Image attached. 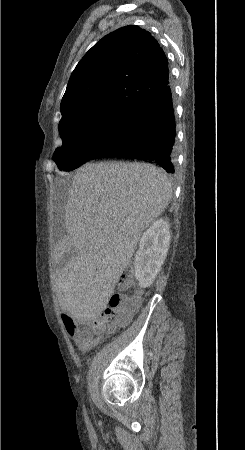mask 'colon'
<instances>
[{"label":"colon","instance_id":"colon-1","mask_svg":"<svg viewBox=\"0 0 245 450\" xmlns=\"http://www.w3.org/2000/svg\"><path fill=\"white\" fill-rule=\"evenodd\" d=\"M132 286V275L125 274L117 281L118 292L112 295L108 305L90 321L64 320V326L69 335L77 334L81 341H88L93 331L114 332L119 327H125L139 309L140 296H127L125 292Z\"/></svg>","mask_w":245,"mask_h":450}]
</instances>
